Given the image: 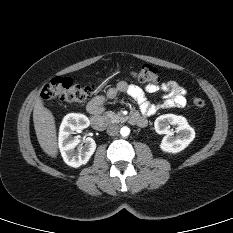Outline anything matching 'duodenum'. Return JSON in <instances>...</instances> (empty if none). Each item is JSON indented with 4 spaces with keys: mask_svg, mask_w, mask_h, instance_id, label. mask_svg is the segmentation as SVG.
<instances>
[{
    "mask_svg": "<svg viewBox=\"0 0 233 233\" xmlns=\"http://www.w3.org/2000/svg\"><path fill=\"white\" fill-rule=\"evenodd\" d=\"M90 121L91 125L97 130H104L109 124L107 117L94 112H90ZM130 121L140 126H144L147 123L146 118L140 114L132 115Z\"/></svg>",
    "mask_w": 233,
    "mask_h": 233,
    "instance_id": "410a0bca",
    "label": "duodenum"
}]
</instances>
